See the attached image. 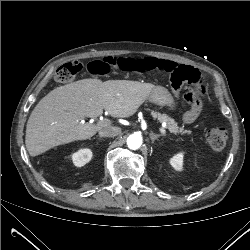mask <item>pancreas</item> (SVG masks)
Instances as JSON below:
<instances>
[{
    "label": "pancreas",
    "mask_w": 250,
    "mask_h": 250,
    "mask_svg": "<svg viewBox=\"0 0 250 250\" xmlns=\"http://www.w3.org/2000/svg\"><path fill=\"white\" fill-rule=\"evenodd\" d=\"M152 116L154 119H158L159 122H165L167 124V129L177 135V134H191L190 130H184V128H180L178 127L177 123L175 122V120L169 116H167L166 114H160L157 112L152 111L151 112Z\"/></svg>",
    "instance_id": "1"
}]
</instances>
